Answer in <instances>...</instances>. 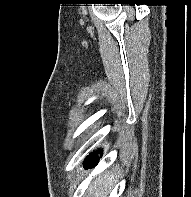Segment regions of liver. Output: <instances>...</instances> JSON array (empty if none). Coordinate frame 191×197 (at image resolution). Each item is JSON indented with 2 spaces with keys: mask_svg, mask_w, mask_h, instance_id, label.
<instances>
[{
  "mask_svg": "<svg viewBox=\"0 0 191 197\" xmlns=\"http://www.w3.org/2000/svg\"><path fill=\"white\" fill-rule=\"evenodd\" d=\"M117 177V173L113 170L105 172L90 185L86 197H107Z\"/></svg>",
  "mask_w": 191,
  "mask_h": 197,
  "instance_id": "1",
  "label": "liver"
}]
</instances>
